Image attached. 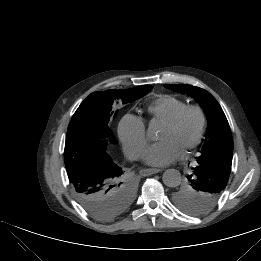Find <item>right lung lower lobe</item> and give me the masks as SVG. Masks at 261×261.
Here are the masks:
<instances>
[{
	"label": "right lung lower lobe",
	"instance_id": "1",
	"mask_svg": "<svg viewBox=\"0 0 261 261\" xmlns=\"http://www.w3.org/2000/svg\"><path fill=\"white\" fill-rule=\"evenodd\" d=\"M106 145V139L92 130L73 128L67 131L64 162L74 189L81 191L123 174L106 152Z\"/></svg>",
	"mask_w": 261,
	"mask_h": 261
}]
</instances>
